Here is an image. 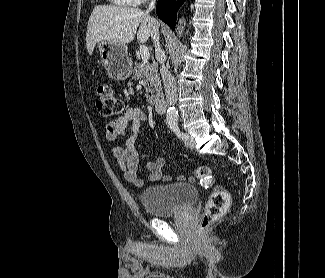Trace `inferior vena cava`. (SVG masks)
I'll return each mask as SVG.
<instances>
[{"instance_id":"602c4592","label":"inferior vena cava","mask_w":325,"mask_h":278,"mask_svg":"<svg viewBox=\"0 0 325 278\" xmlns=\"http://www.w3.org/2000/svg\"><path fill=\"white\" fill-rule=\"evenodd\" d=\"M155 2L156 0H151V3L148 7L147 12L151 11L154 9L155 7ZM152 39H153V43L155 46V55H156V59L160 62L161 67H160V73H161V77H162V81H163V85L165 88V95H166V100L167 103L170 106L175 105L176 100H177V88H176V82L175 79L173 78V76L171 75L170 71L168 70V68L165 66V60H166V56L159 44V25L158 23H156V25L153 28L152 31Z\"/></svg>"}]
</instances>
